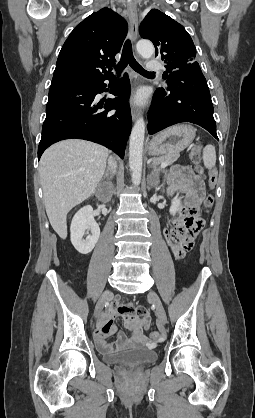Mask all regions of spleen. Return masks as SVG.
I'll use <instances>...</instances> for the list:
<instances>
[{
	"instance_id": "3e777b00",
	"label": "spleen",
	"mask_w": 255,
	"mask_h": 418,
	"mask_svg": "<svg viewBox=\"0 0 255 418\" xmlns=\"http://www.w3.org/2000/svg\"><path fill=\"white\" fill-rule=\"evenodd\" d=\"M203 162L207 169H212L216 164V151L213 145H206L203 149Z\"/></svg>"
}]
</instances>
